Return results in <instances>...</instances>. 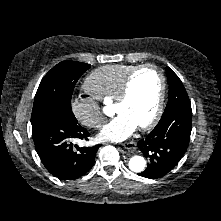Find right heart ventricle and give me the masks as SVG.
Returning a JSON list of instances; mask_svg holds the SVG:
<instances>
[{
  "mask_svg": "<svg viewBox=\"0 0 221 221\" xmlns=\"http://www.w3.org/2000/svg\"><path fill=\"white\" fill-rule=\"evenodd\" d=\"M136 65H106L91 72L84 81V90L95 99L115 101L128 74Z\"/></svg>",
  "mask_w": 221,
  "mask_h": 221,
  "instance_id": "right-heart-ventricle-1",
  "label": "right heart ventricle"
}]
</instances>
